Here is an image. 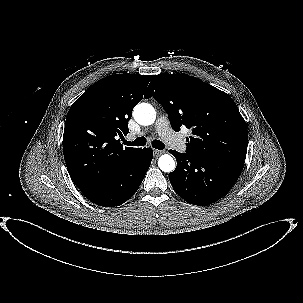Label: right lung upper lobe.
<instances>
[{"instance_id":"1","label":"right lung upper lobe","mask_w":303,"mask_h":303,"mask_svg":"<svg viewBox=\"0 0 303 303\" xmlns=\"http://www.w3.org/2000/svg\"><path fill=\"white\" fill-rule=\"evenodd\" d=\"M152 75L117 74L93 85L70 107L63 153L69 175L84 192L106 181L132 162L140 148L123 147L128 120Z\"/></svg>"}]
</instances>
